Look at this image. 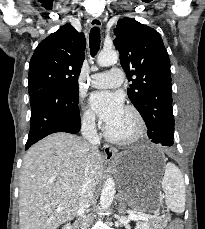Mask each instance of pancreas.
Wrapping results in <instances>:
<instances>
[{
	"mask_svg": "<svg viewBox=\"0 0 205 229\" xmlns=\"http://www.w3.org/2000/svg\"><path fill=\"white\" fill-rule=\"evenodd\" d=\"M153 225H154V226H157V227H159V226H160L158 223H156V224H155V223H153Z\"/></svg>",
	"mask_w": 205,
	"mask_h": 229,
	"instance_id": "obj_1",
	"label": "pancreas"
}]
</instances>
